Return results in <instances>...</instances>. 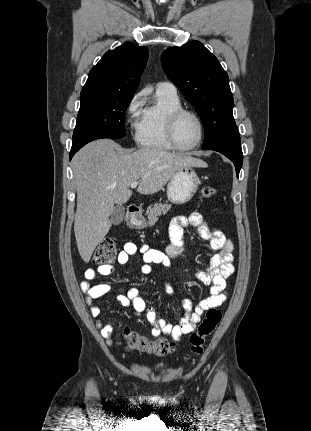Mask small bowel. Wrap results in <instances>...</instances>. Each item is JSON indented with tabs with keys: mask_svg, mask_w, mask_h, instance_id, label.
Returning a JSON list of instances; mask_svg holds the SVG:
<instances>
[{
	"mask_svg": "<svg viewBox=\"0 0 311 431\" xmlns=\"http://www.w3.org/2000/svg\"><path fill=\"white\" fill-rule=\"evenodd\" d=\"M193 226L197 229L200 238L210 242L211 248L216 252L210 259L206 268L196 274L202 282L210 285V295L203 298L193 307V303L186 299L182 302L183 318L177 325L168 323L163 318H157L156 311L146 307V303L138 288H131L120 293L117 297L123 306H130L137 316L145 315L147 320L154 326L152 335L158 336L161 332L170 334L174 340H179L183 335L192 332L201 319V315L208 309L222 305L226 300V279L234 272L233 244L219 230H211L199 212H193L189 216L175 217L169 226L171 244L166 252L151 249L147 245L138 247L133 242H126L120 251L117 262L126 264L130 256L140 252L142 254L141 272L150 274L153 264H160L170 268L172 259L181 253L183 246L184 230ZM114 272V266L109 264L100 265L97 269H87L85 280L80 284L85 294V302L93 317L98 318L101 310L95 304V300L102 297L111 290L109 284L101 283L91 285L90 281L97 275L108 276ZM165 291L170 296L173 288L170 281L165 283ZM101 335L110 345L115 344L113 340L114 330L110 324H105L101 319L96 320Z\"/></svg>",
	"mask_w": 311,
	"mask_h": 431,
	"instance_id": "small-bowel-1",
	"label": "small bowel"
}]
</instances>
